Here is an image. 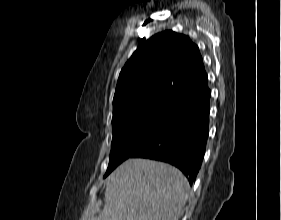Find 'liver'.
Returning a JSON list of instances; mask_svg holds the SVG:
<instances>
[{"label":"liver","mask_w":281,"mask_h":220,"mask_svg":"<svg viewBox=\"0 0 281 220\" xmlns=\"http://www.w3.org/2000/svg\"><path fill=\"white\" fill-rule=\"evenodd\" d=\"M189 193L188 180L179 169L128 159L109 175L103 211L89 220H178Z\"/></svg>","instance_id":"obj_1"}]
</instances>
